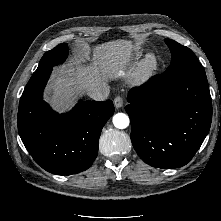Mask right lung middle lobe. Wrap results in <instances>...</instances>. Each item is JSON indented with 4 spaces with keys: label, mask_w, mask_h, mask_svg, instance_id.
Here are the masks:
<instances>
[{
    "label": "right lung middle lobe",
    "mask_w": 221,
    "mask_h": 221,
    "mask_svg": "<svg viewBox=\"0 0 221 221\" xmlns=\"http://www.w3.org/2000/svg\"><path fill=\"white\" fill-rule=\"evenodd\" d=\"M67 55H68L67 45L64 43L57 45L55 48L46 52L43 55L36 71H42L64 62Z\"/></svg>",
    "instance_id": "dd1d6c3e"
}]
</instances>
